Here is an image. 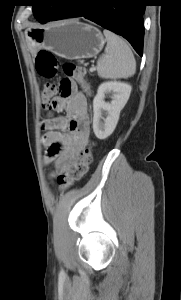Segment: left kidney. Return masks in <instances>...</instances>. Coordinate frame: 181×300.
Here are the masks:
<instances>
[{"label":"left kidney","mask_w":181,"mask_h":300,"mask_svg":"<svg viewBox=\"0 0 181 300\" xmlns=\"http://www.w3.org/2000/svg\"><path fill=\"white\" fill-rule=\"evenodd\" d=\"M131 90L130 84L121 81H107L99 85L93 100V131L98 139L104 140L113 133L118 123L120 112L130 97ZM107 93L112 94L110 103L104 101ZM102 111L106 112L104 123L100 121Z\"/></svg>","instance_id":"obj_1"}]
</instances>
